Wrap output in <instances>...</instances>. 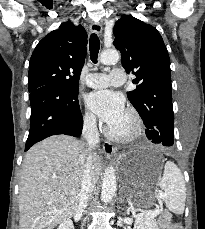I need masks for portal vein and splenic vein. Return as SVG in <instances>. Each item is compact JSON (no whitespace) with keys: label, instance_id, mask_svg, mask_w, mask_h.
Instances as JSON below:
<instances>
[{"label":"portal vein and splenic vein","instance_id":"portal-vein-and-splenic-vein-1","mask_svg":"<svg viewBox=\"0 0 205 229\" xmlns=\"http://www.w3.org/2000/svg\"><path fill=\"white\" fill-rule=\"evenodd\" d=\"M160 213V209H159V207L157 206L152 212H151V215H158Z\"/></svg>","mask_w":205,"mask_h":229}]
</instances>
